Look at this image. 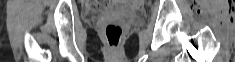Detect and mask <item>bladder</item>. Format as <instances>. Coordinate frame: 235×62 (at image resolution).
Segmentation results:
<instances>
[{"label":"bladder","instance_id":"31cf9c89","mask_svg":"<svg viewBox=\"0 0 235 62\" xmlns=\"http://www.w3.org/2000/svg\"><path fill=\"white\" fill-rule=\"evenodd\" d=\"M121 14L124 18L128 19L131 22L138 23L141 21V17L136 12V10L128 5L124 4L121 6Z\"/></svg>","mask_w":235,"mask_h":62}]
</instances>
